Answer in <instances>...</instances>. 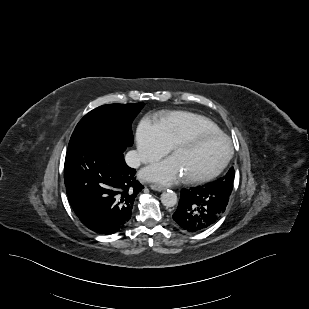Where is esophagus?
I'll list each match as a JSON object with an SVG mask.
<instances>
[{
  "mask_svg": "<svg viewBox=\"0 0 309 309\" xmlns=\"http://www.w3.org/2000/svg\"><path fill=\"white\" fill-rule=\"evenodd\" d=\"M150 188H151L152 190L159 191V192H161V191H163V190L166 189L164 186L159 185V184H155V183L150 184Z\"/></svg>",
  "mask_w": 309,
  "mask_h": 309,
  "instance_id": "esophagus-1",
  "label": "esophagus"
}]
</instances>
